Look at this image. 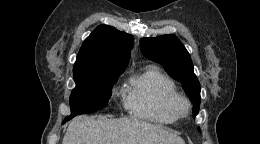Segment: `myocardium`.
<instances>
[{"label": "myocardium", "mask_w": 260, "mask_h": 144, "mask_svg": "<svg viewBox=\"0 0 260 144\" xmlns=\"http://www.w3.org/2000/svg\"><path fill=\"white\" fill-rule=\"evenodd\" d=\"M171 109L178 118H185L189 115L190 102L182 96H178L171 102Z\"/></svg>", "instance_id": "1"}]
</instances>
